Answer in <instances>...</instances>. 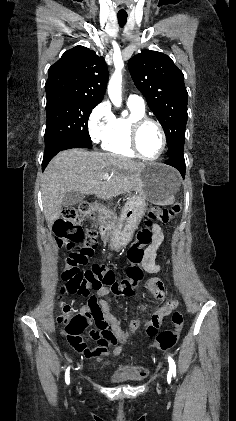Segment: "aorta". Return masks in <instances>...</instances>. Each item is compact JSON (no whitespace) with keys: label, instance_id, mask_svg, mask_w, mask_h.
Listing matches in <instances>:
<instances>
[{"label":"aorta","instance_id":"obj_1","mask_svg":"<svg viewBox=\"0 0 236 421\" xmlns=\"http://www.w3.org/2000/svg\"><path fill=\"white\" fill-rule=\"evenodd\" d=\"M121 78V70H117L112 74L107 86L109 98L115 106H120L121 102Z\"/></svg>","mask_w":236,"mask_h":421}]
</instances>
